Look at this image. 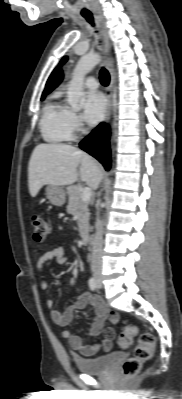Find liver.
I'll return each instance as SVG.
<instances>
[{"mask_svg":"<svg viewBox=\"0 0 182 399\" xmlns=\"http://www.w3.org/2000/svg\"><path fill=\"white\" fill-rule=\"evenodd\" d=\"M78 177L95 190L103 178V171L87 153L66 144H39L28 166L29 192L35 197L44 185H70Z\"/></svg>","mask_w":182,"mask_h":399,"instance_id":"1","label":"liver"}]
</instances>
